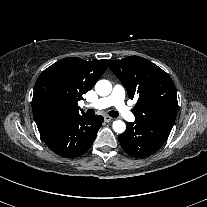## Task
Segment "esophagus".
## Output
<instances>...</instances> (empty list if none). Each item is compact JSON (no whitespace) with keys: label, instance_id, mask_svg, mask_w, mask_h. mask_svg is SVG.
Wrapping results in <instances>:
<instances>
[{"label":"esophagus","instance_id":"esophagus-1","mask_svg":"<svg viewBox=\"0 0 207 207\" xmlns=\"http://www.w3.org/2000/svg\"><path fill=\"white\" fill-rule=\"evenodd\" d=\"M111 120H112V118L110 116H107V115L104 116L105 122H110Z\"/></svg>","mask_w":207,"mask_h":207}]
</instances>
